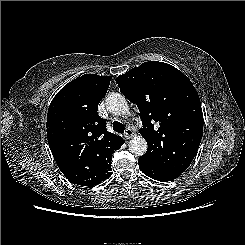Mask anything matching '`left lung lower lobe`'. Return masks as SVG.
<instances>
[{
  "mask_svg": "<svg viewBox=\"0 0 245 245\" xmlns=\"http://www.w3.org/2000/svg\"><path fill=\"white\" fill-rule=\"evenodd\" d=\"M138 164H139L141 171L145 175H147L148 177L152 179L161 181V182L172 181L181 175V173L168 171V170H164V169L149 165L143 161H140L139 159H138Z\"/></svg>",
  "mask_w": 245,
  "mask_h": 245,
  "instance_id": "obj_1",
  "label": "left lung lower lobe"
}]
</instances>
